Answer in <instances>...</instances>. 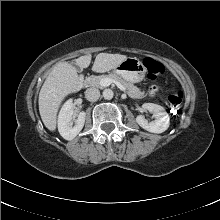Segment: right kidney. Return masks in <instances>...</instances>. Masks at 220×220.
<instances>
[{"instance_id":"right-kidney-1","label":"right kidney","mask_w":220,"mask_h":220,"mask_svg":"<svg viewBox=\"0 0 220 220\" xmlns=\"http://www.w3.org/2000/svg\"><path fill=\"white\" fill-rule=\"evenodd\" d=\"M73 101L69 99L63 105L58 116V131L60 135L66 140L74 139L82 130L85 123V112H80L77 116L76 123L73 127L70 123L73 119Z\"/></svg>"}]
</instances>
